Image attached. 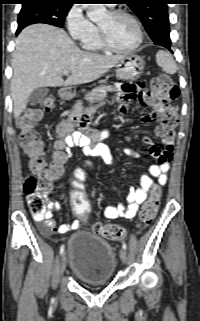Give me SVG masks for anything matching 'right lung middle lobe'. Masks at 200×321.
Wrapping results in <instances>:
<instances>
[{
  "instance_id": "1",
  "label": "right lung middle lobe",
  "mask_w": 200,
  "mask_h": 321,
  "mask_svg": "<svg viewBox=\"0 0 200 321\" xmlns=\"http://www.w3.org/2000/svg\"><path fill=\"white\" fill-rule=\"evenodd\" d=\"M71 5H64L58 1L32 0L22 2L18 15V31L34 23H45L63 27L65 18Z\"/></svg>"
}]
</instances>
